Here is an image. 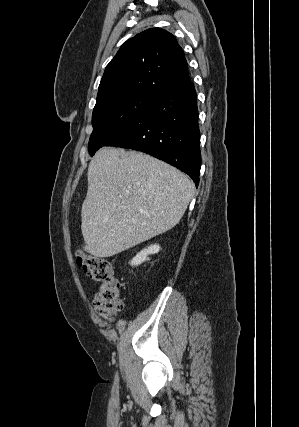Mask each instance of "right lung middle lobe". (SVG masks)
<instances>
[{
	"instance_id": "dd1d6c3e",
	"label": "right lung middle lobe",
	"mask_w": 299,
	"mask_h": 427,
	"mask_svg": "<svg viewBox=\"0 0 299 427\" xmlns=\"http://www.w3.org/2000/svg\"><path fill=\"white\" fill-rule=\"evenodd\" d=\"M154 98L138 94H117L96 102L92 115L93 132L88 150L91 156L125 131Z\"/></svg>"
}]
</instances>
